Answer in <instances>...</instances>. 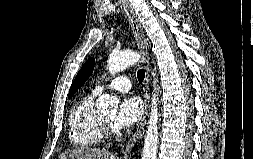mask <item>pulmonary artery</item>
<instances>
[{
    "label": "pulmonary artery",
    "mask_w": 253,
    "mask_h": 159,
    "mask_svg": "<svg viewBox=\"0 0 253 159\" xmlns=\"http://www.w3.org/2000/svg\"><path fill=\"white\" fill-rule=\"evenodd\" d=\"M104 88H109L118 92H127L131 89V82L126 76H117L111 79L106 85H97L93 92L99 94Z\"/></svg>",
    "instance_id": "obj_1"
}]
</instances>
